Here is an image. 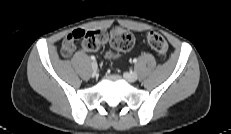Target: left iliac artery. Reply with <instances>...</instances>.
<instances>
[{
    "instance_id": "44dca946",
    "label": "left iliac artery",
    "mask_w": 231,
    "mask_h": 134,
    "mask_svg": "<svg viewBox=\"0 0 231 134\" xmlns=\"http://www.w3.org/2000/svg\"><path fill=\"white\" fill-rule=\"evenodd\" d=\"M133 63H137V59L135 58V59H133Z\"/></svg>"
}]
</instances>
